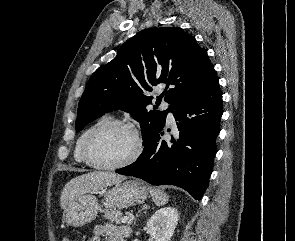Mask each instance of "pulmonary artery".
<instances>
[{"label": "pulmonary artery", "instance_id": "1", "mask_svg": "<svg viewBox=\"0 0 295 241\" xmlns=\"http://www.w3.org/2000/svg\"><path fill=\"white\" fill-rule=\"evenodd\" d=\"M169 107V103H164V108L167 109ZM167 119L169 122L173 123L174 122V116L171 111L168 112Z\"/></svg>", "mask_w": 295, "mask_h": 241}]
</instances>
